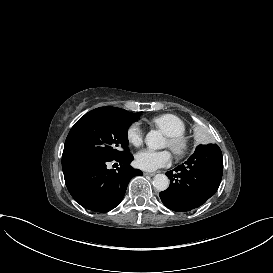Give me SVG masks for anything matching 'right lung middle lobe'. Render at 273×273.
<instances>
[{
  "label": "right lung middle lobe",
  "mask_w": 273,
  "mask_h": 273,
  "mask_svg": "<svg viewBox=\"0 0 273 273\" xmlns=\"http://www.w3.org/2000/svg\"><path fill=\"white\" fill-rule=\"evenodd\" d=\"M133 122L101 108L88 112L66 138L62 167L79 160H112L129 153L127 131Z\"/></svg>",
  "instance_id": "1"
}]
</instances>
